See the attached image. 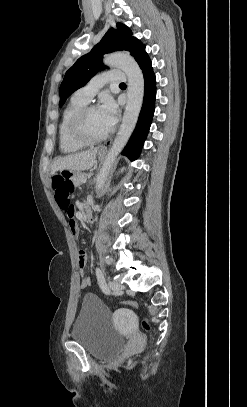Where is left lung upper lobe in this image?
Segmentation results:
<instances>
[{"label":"left lung upper lobe","instance_id":"1","mask_svg":"<svg viewBox=\"0 0 247 407\" xmlns=\"http://www.w3.org/2000/svg\"><path fill=\"white\" fill-rule=\"evenodd\" d=\"M121 50L130 52L137 62L146 54L145 46L132 36L131 30L124 24H117V30L109 29L102 40L66 72L59 90V105L62 106L74 91L86 85L96 72L105 68L102 63L104 54Z\"/></svg>","mask_w":247,"mask_h":407}]
</instances>
